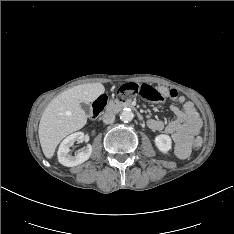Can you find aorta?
Masks as SVG:
<instances>
[{
  "instance_id": "1",
  "label": "aorta",
  "mask_w": 234,
  "mask_h": 234,
  "mask_svg": "<svg viewBox=\"0 0 234 234\" xmlns=\"http://www.w3.org/2000/svg\"><path fill=\"white\" fill-rule=\"evenodd\" d=\"M133 117H134V114L129 108H125L120 114V119L123 122H130L133 119Z\"/></svg>"
}]
</instances>
